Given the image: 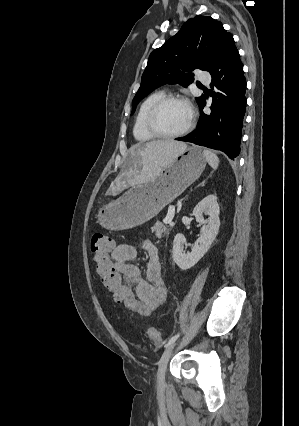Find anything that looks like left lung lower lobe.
I'll return each mask as SVG.
<instances>
[{
  "label": "left lung lower lobe",
  "mask_w": 299,
  "mask_h": 426,
  "mask_svg": "<svg viewBox=\"0 0 299 426\" xmlns=\"http://www.w3.org/2000/svg\"><path fill=\"white\" fill-rule=\"evenodd\" d=\"M211 114L202 112L206 105L199 102L201 115L193 133L176 138L200 146L220 150L230 159L240 153L241 130L246 106V80L243 64L237 50L229 53L211 72Z\"/></svg>",
  "instance_id": "left-lung-lower-lobe-1"
}]
</instances>
